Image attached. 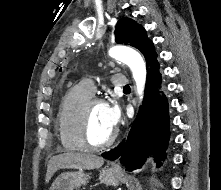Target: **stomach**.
I'll return each mask as SVG.
<instances>
[{"instance_id": "stomach-1", "label": "stomach", "mask_w": 221, "mask_h": 190, "mask_svg": "<svg viewBox=\"0 0 221 190\" xmlns=\"http://www.w3.org/2000/svg\"><path fill=\"white\" fill-rule=\"evenodd\" d=\"M90 178L83 170L65 172L60 174L52 183L49 190H75L85 185ZM99 179L105 185L117 186L121 177L113 169H105L100 173Z\"/></svg>"}]
</instances>
